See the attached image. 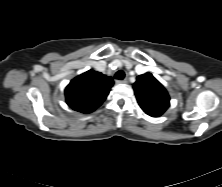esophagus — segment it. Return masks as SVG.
Returning <instances> with one entry per match:
<instances>
[{
  "label": "esophagus",
  "mask_w": 222,
  "mask_h": 187,
  "mask_svg": "<svg viewBox=\"0 0 222 187\" xmlns=\"http://www.w3.org/2000/svg\"><path fill=\"white\" fill-rule=\"evenodd\" d=\"M127 82H128L127 79L117 80V83H118V84H125V83H127Z\"/></svg>",
  "instance_id": "34e87169"
}]
</instances>
